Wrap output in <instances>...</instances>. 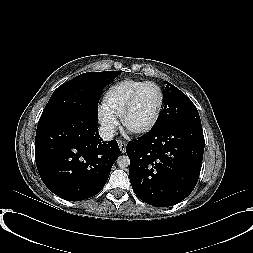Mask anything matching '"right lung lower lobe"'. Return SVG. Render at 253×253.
<instances>
[{
	"label": "right lung lower lobe",
	"instance_id": "right-lung-lower-lobe-1",
	"mask_svg": "<svg viewBox=\"0 0 253 253\" xmlns=\"http://www.w3.org/2000/svg\"><path fill=\"white\" fill-rule=\"evenodd\" d=\"M98 118L75 113L37 126L39 175L57 196L80 201L99 193L120 155L116 140L102 142Z\"/></svg>",
	"mask_w": 253,
	"mask_h": 253
}]
</instances>
